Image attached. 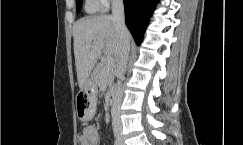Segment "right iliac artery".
Returning a JSON list of instances; mask_svg holds the SVG:
<instances>
[{
	"label": "right iliac artery",
	"mask_w": 243,
	"mask_h": 145,
	"mask_svg": "<svg viewBox=\"0 0 243 145\" xmlns=\"http://www.w3.org/2000/svg\"><path fill=\"white\" fill-rule=\"evenodd\" d=\"M114 145H120V141H119L118 139H116V140L114 141Z\"/></svg>",
	"instance_id": "obj_1"
}]
</instances>
